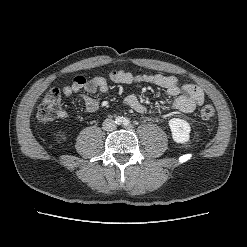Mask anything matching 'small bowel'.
Here are the masks:
<instances>
[{
    "label": "small bowel",
    "instance_id": "1",
    "mask_svg": "<svg viewBox=\"0 0 247 247\" xmlns=\"http://www.w3.org/2000/svg\"><path fill=\"white\" fill-rule=\"evenodd\" d=\"M109 78L112 82L117 84L133 85L144 82L161 87L168 96L173 98L171 103L172 108L182 113L193 112L205 99L204 92L199 86L194 84L180 85L178 78L175 76L160 74L134 75L126 70H112L109 74ZM82 91L88 94H93L97 91L106 93L109 91V84L107 79L103 76L86 78L80 75L73 79L71 85L63 87L62 92L64 96L69 97L73 94L80 96L85 104L86 110L94 112L99 108L100 103L96 99L83 94ZM124 104L139 113H143L147 109L135 94H128L124 98ZM58 117L66 119L69 117V114L65 110H61Z\"/></svg>",
    "mask_w": 247,
    "mask_h": 247
}]
</instances>
